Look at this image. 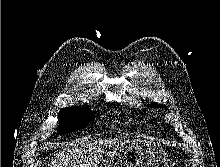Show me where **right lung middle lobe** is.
Masks as SVG:
<instances>
[{"label":"right lung middle lobe","mask_w":220,"mask_h":167,"mask_svg":"<svg viewBox=\"0 0 220 167\" xmlns=\"http://www.w3.org/2000/svg\"><path fill=\"white\" fill-rule=\"evenodd\" d=\"M59 133H69L83 129L94 120L88 107H66L59 112Z\"/></svg>","instance_id":"1"}]
</instances>
